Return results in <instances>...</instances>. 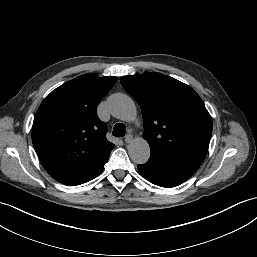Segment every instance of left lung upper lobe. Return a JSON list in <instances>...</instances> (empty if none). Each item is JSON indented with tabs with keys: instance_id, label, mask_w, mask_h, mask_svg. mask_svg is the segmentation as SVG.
Masks as SVG:
<instances>
[{
	"instance_id": "1",
	"label": "left lung upper lobe",
	"mask_w": 257,
	"mask_h": 257,
	"mask_svg": "<svg viewBox=\"0 0 257 257\" xmlns=\"http://www.w3.org/2000/svg\"><path fill=\"white\" fill-rule=\"evenodd\" d=\"M120 83L141 107L151 152L206 156L212 119L191 87L160 73L124 76Z\"/></svg>"
}]
</instances>
